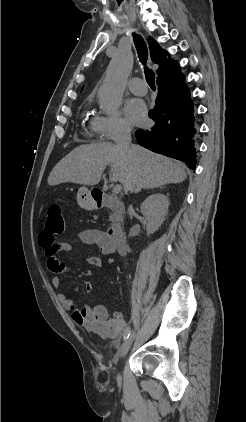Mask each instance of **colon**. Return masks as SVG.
<instances>
[{
	"mask_svg": "<svg viewBox=\"0 0 246 422\" xmlns=\"http://www.w3.org/2000/svg\"><path fill=\"white\" fill-rule=\"evenodd\" d=\"M46 229L53 234H60L64 230L62 208L58 201L51 202L48 207Z\"/></svg>",
	"mask_w": 246,
	"mask_h": 422,
	"instance_id": "1",
	"label": "colon"
}]
</instances>
